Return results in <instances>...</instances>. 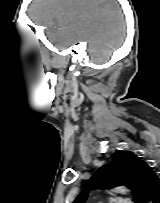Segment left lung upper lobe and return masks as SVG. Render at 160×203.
<instances>
[{
  "label": "left lung upper lobe",
  "mask_w": 160,
  "mask_h": 203,
  "mask_svg": "<svg viewBox=\"0 0 160 203\" xmlns=\"http://www.w3.org/2000/svg\"><path fill=\"white\" fill-rule=\"evenodd\" d=\"M158 179L153 168L141 157L130 151L117 150L113 160L97 170L73 203H84L91 189L117 185L129 187L135 203H146Z\"/></svg>",
  "instance_id": "1"
}]
</instances>
